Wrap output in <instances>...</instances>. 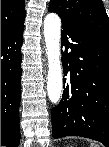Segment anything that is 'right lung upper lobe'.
Listing matches in <instances>:
<instances>
[{
  "instance_id": "obj_1",
  "label": "right lung upper lobe",
  "mask_w": 109,
  "mask_h": 147,
  "mask_svg": "<svg viewBox=\"0 0 109 147\" xmlns=\"http://www.w3.org/2000/svg\"><path fill=\"white\" fill-rule=\"evenodd\" d=\"M25 0H1V34L24 22Z\"/></svg>"
}]
</instances>
